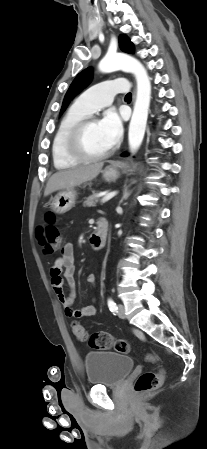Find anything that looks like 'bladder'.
<instances>
[{"mask_svg": "<svg viewBox=\"0 0 207 449\" xmlns=\"http://www.w3.org/2000/svg\"><path fill=\"white\" fill-rule=\"evenodd\" d=\"M88 383L92 386L120 385L133 371V358L109 351L88 352L84 357Z\"/></svg>", "mask_w": 207, "mask_h": 449, "instance_id": "obj_1", "label": "bladder"}]
</instances>
